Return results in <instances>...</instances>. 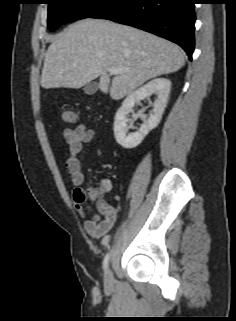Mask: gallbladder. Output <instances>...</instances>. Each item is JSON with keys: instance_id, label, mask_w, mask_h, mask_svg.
<instances>
[{"instance_id": "1", "label": "gallbladder", "mask_w": 236, "mask_h": 321, "mask_svg": "<svg viewBox=\"0 0 236 321\" xmlns=\"http://www.w3.org/2000/svg\"><path fill=\"white\" fill-rule=\"evenodd\" d=\"M83 90L85 94L92 95L98 90V84L96 82H90L83 88Z\"/></svg>"}]
</instances>
